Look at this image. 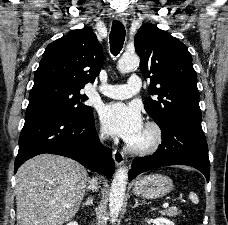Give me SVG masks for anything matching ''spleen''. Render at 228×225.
Here are the masks:
<instances>
[{"instance_id": "1", "label": "spleen", "mask_w": 228, "mask_h": 225, "mask_svg": "<svg viewBox=\"0 0 228 225\" xmlns=\"http://www.w3.org/2000/svg\"><path fill=\"white\" fill-rule=\"evenodd\" d=\"M189 199H191L192 203H198V197L195 193H190Z\"/></svg>"}]
</instances>
